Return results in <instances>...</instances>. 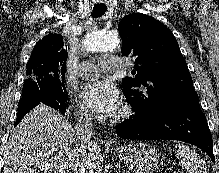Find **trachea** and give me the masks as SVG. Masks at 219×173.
I'll list each match as a JSON object with an SVG mask.
<instances>
[{
  "label": "trachea",
  "mask_w": 219,
  "mask_h": 173,
  "mask_svg": "<svg viewBox=\"0 0 219 173\" xmlns=\"http://www.w3.org/2000/svg\"><path fill=\"white\" fill-rule=\"evenodd\" d=\"M107 10L105 5H95L93 8L92 16L93 17H100L102 16Z\"/></svg>",
  "instance_id": "1"
}]
</instances>
